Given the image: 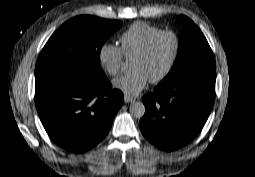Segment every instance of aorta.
I'll return each instance as SVG.
<instances>
[{
    "label": "aorta",
    "mask_w": 255,
    "mask_h": 177,
    "mask_svg": "<svg viewBox=\"0 0 255 177\" xmlns=\"http://www.w3.org/2000/svg\"><path fill=\"white\" fill-rule=\"evenodd\" d=\"M129 112L134 118H142L145 113V106L142 102H133L130 104Z\"/></svg>",
    "instance_id": "aorta-1"
}]
</instances>
